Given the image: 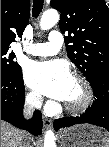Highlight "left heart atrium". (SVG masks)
Listing matches in <instances>:
<instances>
[{
    "label": "left heart atrium",
    "instance_id": "left-heart-atrium-1",
    "mask_svg": "<svg viewBox=\"0 0 109 147\" xmlns=\"http://www.w3.org/2000/svg\"><path fill=\"white\" fill-rule=\"evenodd\" d=\"M25 82L34 90L50 98L64 101L72 75L62 61L32 62L25 68Z\"/></svg>",
    "mask_w": 109,
    "mask_h": 147
}]
</instances>
